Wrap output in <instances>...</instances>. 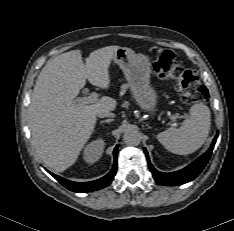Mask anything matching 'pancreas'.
<instances>
[{
  "instance_id": "obj_1",
  "label": "pancreas",
  "mask_w": 234,
  "mask_h": 231,
  "mask_svg": "<svg viewBox=\"0 0 234 231\" xmlns=\"http://www.w3.org/2000/svg\"><path fill=\"white\" fill-rule=\"evenodd\" d=\"M127 88H128V85H126V84H124V85L121 86V90L122 91H125Z\"/></svg>"
}]
</instances>
